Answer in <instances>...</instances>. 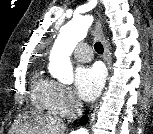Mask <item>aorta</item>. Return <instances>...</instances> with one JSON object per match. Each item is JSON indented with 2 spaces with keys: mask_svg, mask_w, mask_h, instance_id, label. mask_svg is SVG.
<instances>
[{
  "mask_svg": "<svg viewBox=\"0 0 153 134\" xmlns=\"http://www.w3.org/2000/svg\"><path fill=\"white\" fill-rule=\"evenodd\" d=\"M91 23L89 16H76L60 30L50 53L49 71L54 78L63 84H71L74 80L70 56L83 38L86 37ZM77 134H89L88 130L81 128Z\"/></svg>",
  "mask_w": 153,
  "mask_h": 134,
  "instance_id": "aorta-1",
  "label": "aorta"
}]
</instances>
